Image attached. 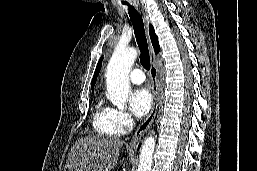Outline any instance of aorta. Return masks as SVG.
Segmentation results:
<instances>
[{
    "label": "aorta",
    "instance_id": "762f6f07",
    "mask_svg": "<svg viewBox=\"0 0 257 171\" xmlns=\"http://www.w3.org/2000/svg\"><path fill=\"white\" fill-rule=\"evenodd\" d=\"M137 57L134 48H117L107 66L106 84L108 98L112 104L124 108L130 91L129 72ZM155 148L154 136H148L140 151V160L137 171H151L153 152Z\"/></svg>",
    "mask_w": 257,
    "mask_h": 171
}]
</instances>
